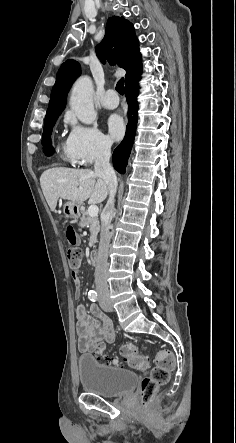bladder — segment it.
Masks as SVG:
<instances>
[{"mask_svg": "<svg viewBox=\"0 0 236 443\" xmlns=\"http://www.w3.org/2000/svg\"><path fill=\"white\" fill-rule=\"evenodd\" d=\"M77 369L84 391L104 398L124 395L137 381L135 372L101 364L92 355L78 357Z\"/></svg>", "mask_w": 236, "mask_h": 443, "instance_id": "1", "label": "bladder"}]
</instances>
